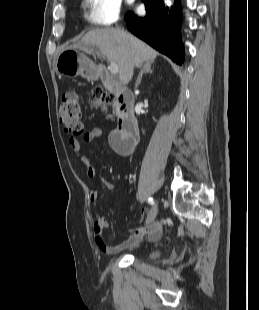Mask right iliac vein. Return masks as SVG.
<instances>
[{"instance_id":"1","label":"right iliac vein","mask_w":259,"mask_h":310,"mask_svg":"<svg viewBox=\"0 0 259 310\" xmlns=\"http://www.w3.org/2000/svg\"><path fill=\"white\" fill-rule=\"evenodd\" d=\"M157 213H158V206H157V203L155 202L148 214L146 223L147 224L151 223L156 218Z\"/></svg>"}]
</instances>
